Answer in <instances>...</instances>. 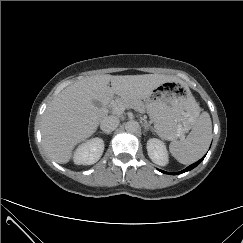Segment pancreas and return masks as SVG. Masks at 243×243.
Listing matches in <instances>:
<instances>
[{
  "instance_id": "obj_1",
  "label": "pancreas",
  "mask_w": 243,
  "mask_h": 243,
  "mask_svg": "<svg viewBox=\"0 0 243 243\" xmlns=\"http://www.w3.org/2000/svg\"><path fill=\"white\" fill-rule=\"evenodd\" d=\"M119 105H123L125 108H134L135 110H138V111L144 110L143 103H141L139 101L117 98V99L111 101L109 104V108L112 110L113 114H117L115 112V107L119 106Z\"/></svg>"
}]
</instances>
